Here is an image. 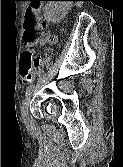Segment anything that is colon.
Here are the masks:
<instances>
[{"instance_id": "1", "label": "colon", "mask_w": 123, "mask_h": 167, "mask_svg": "<svg viewBox=\"0 0 123 167\" xmlns=\"http://www.w3.org/2000/svg\"><path fill=\"white\" fill-rule=\"evenodd\" d=\"M38 4L30 8L24 18V32L23 41L28 46L34 45L42 36V19L39 11ZM41 62L40 58L33 60V50L26 49L21 57L20 74L22 78L30 79L31 70L33 66L38 65Z\"/></svg>"}]
</instances>
